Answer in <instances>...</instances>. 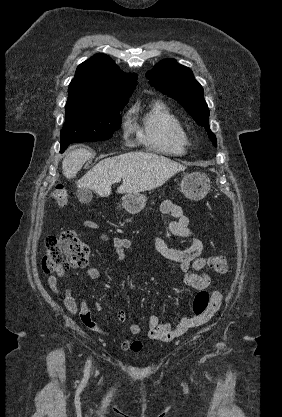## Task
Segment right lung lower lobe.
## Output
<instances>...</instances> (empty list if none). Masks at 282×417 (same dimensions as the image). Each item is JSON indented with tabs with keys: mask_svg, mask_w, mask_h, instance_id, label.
I'll return each instance as SVG.
<instances>
[{
	"mask_svg": "<svg viewBox=\"0 0 282 417\" xmlns=\"http://www.w3.org/2000/svg\"><path fill=\"white\" fill-rule=\"evenodd\" d=\"M65 149L61 148V152H63Z\"/></svg>",
	"mask_w": 282,
	"mask_h": 417,
	"instance_id": "right-lung-lower-lobe-1",
	"label": "right lung lower lobe"
}]
</instances>
